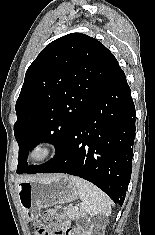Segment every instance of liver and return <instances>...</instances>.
Segmentation results:
<instances>
[{"label":"liver","instance_id":"liver-1","mask_svg":"<svg viewBox=\"0 0 155 235\" xmlns=\"http://www.w3.org/2000/svg\"><path fill=\"white\" fill-rule=\"evenodd\" d=\"M42 179L41 176H26V177H21L16 180V184L18 185L21 182H27V181H35V180H40Z\"/></svg>","mask_w":155,"mask_h":235}]
</instances>
